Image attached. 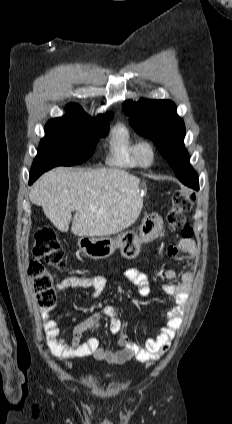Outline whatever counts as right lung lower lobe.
Wrapping results in <instances>:
<instances>
[{
  "label": "right lung lower lobe",
  "instance_id": "obj_1",
  "mask_svg": "<svg viewBox=\"0 0 232 424\" xmlns=\"http://www.w3.org/2000/svg\"><path fill=\"white\" fill-rule=\"evenodd\" d=\"M37 178V176L30 177L29 183L32 184Z\"/></svg>",
  "mask_w": 232,
  "mask_h": 424
}]
</instances>
